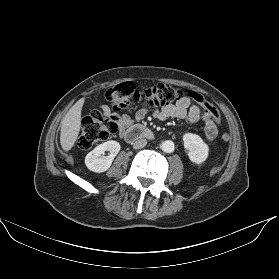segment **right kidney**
<instances>
[{
  "label": "right kidney",
  "mask_w": 279,
  "mask_h": 279,
  "mask_svg": "<svg viewBox=\"0 0 279 279\" xmlns=\"http://www.w3.org/2000/svg\"><path fill=\"white\" fill-rule=\"evenodd\" d=\"M120 144L117 141H107L96 146L85 157V164L90 171L101 173L108 170L120 151ZM109 151L107 156L105 152Z\"/></svg>",
  "instance_id": "right-kidney-1"
}]
</instances>
